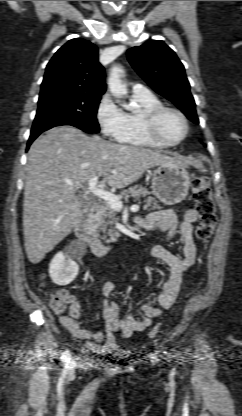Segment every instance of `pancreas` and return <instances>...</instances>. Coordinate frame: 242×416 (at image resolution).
<instances>
[{
	"label": "pancreas",
	"mask_w": 242,
	"mask_h": 416,
	"mask_svg": "<svg viewBox=\"0 0 242 416\" xmlns=\"http://www.w3.org/2000/svg\"><path fill=\"white\" fill-rule=\"evenodd\" d=\"M129 196L136 198L139 200V197L142 196L145 198L144 207L143 209H160L158 201L155 200L152 196H150V192L146 187H134L129 190L123 191L118 197L121 198H128ZM116 211L113 209L106 201H103L98 206L95 214L91 217L92 227L96 231V235L99 236L100 232L106 233V228L108 225H114L117 221ZM115 232L114 228L112 227L109 229L108 234L109 236L113 237V233ZM102 238H105L103 236Z\"/></svg>",
	"instance_id": "pancreas-1"
}]
</instances>
